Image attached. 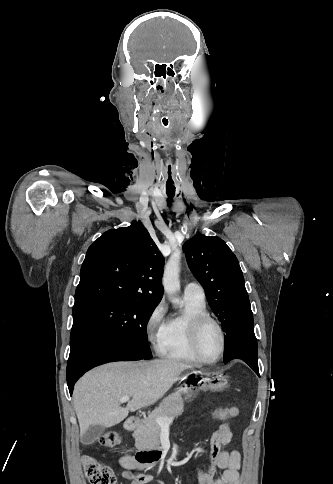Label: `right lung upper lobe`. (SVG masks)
Segmentation results:
<instances>
[{
    "label": "right lung upper lobe",
    "instance_id": "obj_1",
    "mask_svg": "<svg viewBox=\"0 0 333 484\" xmlns=\"http://www.w3.org/2000/svg\"><path fill=\"white\" fill-rule=\"evenodd\" d=\"M164 259L140 222L108 230L88 249L75 304L89 298L159 303Z\"/></svg>",
    "mask_w": 333,
    "mask_h": 484
}]
</instances>
